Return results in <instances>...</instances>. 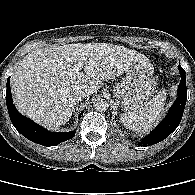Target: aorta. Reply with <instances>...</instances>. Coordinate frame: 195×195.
Instances as JSON below:
<instances>
[{
  "mask_svg": "<svg viewBox=\"0 0 195 195\" xmlns=\"http://www.w3.org/2000/svg\"><path fill=\"white\" fill-rule=\"evenodd\" d=\"M93 106L97 111L103 112L108 109L109 104L105 99L99 98L95 100Z\"/></svg>",
  "mask_w": 195,
  "mask_h": 195,
  "instance_id": "1",
  "label": "aorta"
}]
</instances>
